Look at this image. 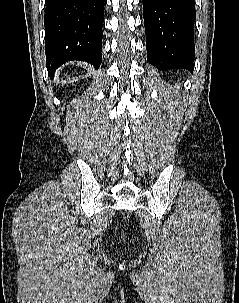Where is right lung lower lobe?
Segmentation results:
<instances>
[{"label":"right lung lower lobe","instance_id":"98d812e1","mask_svg":"<svg viewBox=\"0 0 239 303\" xmlns=\"http://www.w3.org/2000/svg\"><path fill=\"white\" fill-rule=\"evenodd\" d=\"M45 5L48 72L71 60L85 61L98 68L102 60L104 0H45Z\"/></svg>","mask_w":239,"mask_h":303}]
</instances>
